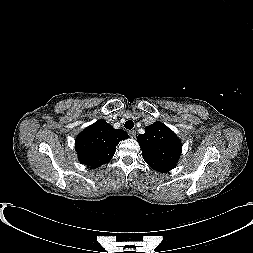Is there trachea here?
Wrapping results in <instances>:
<instances>
[{
	"instance_id": "obj_1",
	"label": "trachea",
	"mask_w": 253,
	"mask_h": 253,
	"mask_svg": "<svg viewBox=\"0 0 253 253\" xmlns=\"http://www.w3.org/2000/svg\"><path fill=\"white\" fill-rule=\"evenodd\" d=\"M125 128L131 130L134 127V123L131 120L126 121Z\"/></svg>"
}]
</instances>
